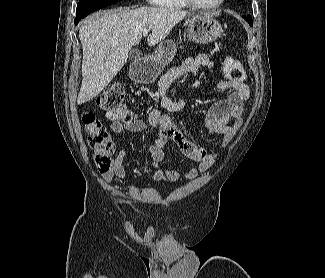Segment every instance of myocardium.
<instances>
[{
	"instance_id": "obj_1",
	"label": "myocardium",
	"mask_w": 325,
	"mask_h": 278,
	"mask_svg": "<svg viewBox=\"0 0 325 278\" xmlns=\"http://www.w3.org/2000/svg\"><path fill=\"white\" fill-rule=\"evenodd\" d=\"M185 1L189 6H191L193 8L209 11V10H214V9L219 8L224 3L225 0H218L216 3L211 4V5L200 4L196 0H185Z\"/></svg>"
}]
</instances>
